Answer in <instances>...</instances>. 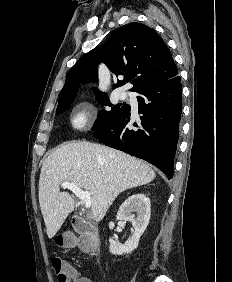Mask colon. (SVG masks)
I'll return each instance as SVG.
<instances>
[{"label":"colon","instance_id":"colon-1","mask_svg":"<svg viewBox=\"0 0 232 282\" xmlns=\"http://www.w3.org/2000/svg\"><path fill=\"white\" fill-rule=\"evenodd\" d=\"M57 244L67 248H79L87 251L90 247L85 238H76L72 235H61L57 238ZM51 265L55 272L58 282H72L73 267L59 256L51 258Z\"/></svg>","mask_w":232,"mask_h":282}]
</instances>
